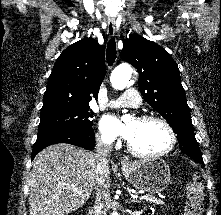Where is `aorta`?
Returning <instances> with one entry per match:
<instances>
[{"instance_id":"obj_1","label":"aorta","mask_w":221,"mask_h":215,"mask_svg":"<svg viewBox=\"0 0 221 215\" xmlns=\"http://www.w3.org/2000/svg\"><path fill=\"white\" fill-rule=\"evenodd\" d=\"M132 68L128 64H122L117 66L110 76V82L114 89L123 90L129 84L132 76ZM112 215H118L117 212H113Z\"/></svg>"}]
</instances>
